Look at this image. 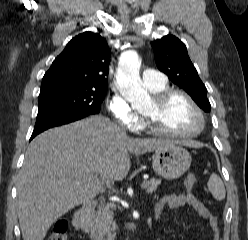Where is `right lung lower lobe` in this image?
I'll return each mask as SVG.
<instances>
[{
    "label": "right lung lower lobe",
    "instance_id": "98d812e1",
    "mask_svg": "<svg viewBox=\"0 0 248 240\" xmlns=\"http://www.w3.org/2000/svg\"><path fill=\"white\" fill-rule=\"evenodd\" d=\"M88 115L66 114V113H44L38 114L35 127L30 138L33 139L36 135L49 128L80 120Z\"/></svg>",
    "mask_w": 248,
    "mask_h": 240
}]
</instances>
